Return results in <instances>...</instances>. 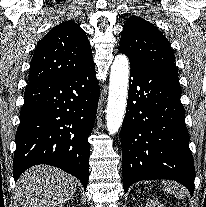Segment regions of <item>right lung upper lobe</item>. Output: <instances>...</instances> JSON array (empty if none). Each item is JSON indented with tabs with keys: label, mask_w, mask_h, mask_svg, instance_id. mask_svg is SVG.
Here are the masks:
<instances>
[{
	"label": "right lung upper lobe",
	"mask_w": 206,
	"mask_h": 207,
	"mask_svg": "<svg viewBox=\"0 0 206 207\" xmlns=\"http://www.w3.org/2000/svg\"><path fill=\"white\" fill-rule=\"evenodd\" d=\"M92 63L85 32L74 21H65L38 43L30 63L29 84L69 77Z\"/></svg>",
	"instance_id": "obj_1"
}]
</instances>
